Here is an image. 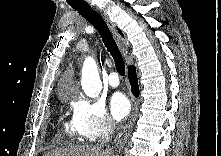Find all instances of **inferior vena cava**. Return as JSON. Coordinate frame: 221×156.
I'll return each mask as SVG.
<instances>
[{"label":"inferior vena cava","mask_w":221,"mask_h":156,"mask_svg":"<svg viewBox=\"0 0 221 156\" xmlns=\"http://www.w3.org/2000/svg\"><path fill=\"white\" fill-rule=\"evenodd\" d=\"M113 130H114V123L111 120H109L105 125L102 136L99 139L97 146L99 147L107 146L110 139L112 138Z\"/></svg>","instance_id":"602c4592"}]
</instances>
